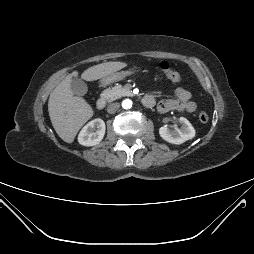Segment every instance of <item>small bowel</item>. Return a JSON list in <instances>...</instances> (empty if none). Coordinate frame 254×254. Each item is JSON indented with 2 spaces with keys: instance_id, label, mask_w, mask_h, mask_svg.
<instances>
[{
  "instance_id": "small-bowel-1",
  "label": "small bowel",
  "mask_w": 254,
  "mask_h": 254,
  "mask_svg": "<svg viewBox=\"0 0 254 254\" xmlns=\"http://www.w3.org/2000/svg\"><path fill=\"white\" fill-rule=\"evenodd\" d=\"M150 97L153 98L152 96ZM196 108L197 105L191 99V93L182 87L175 89V99H165L160 101L157 105V109L161 113H167L173 110L194 112Z\"/></svg>"
}]
</instances>
